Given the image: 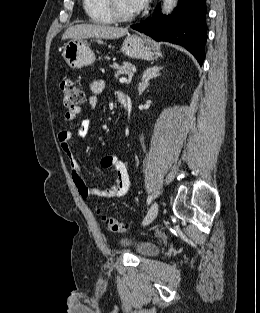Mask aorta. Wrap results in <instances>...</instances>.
I'll list each match as a JSON object with an SVG mask.
<instances>
[{
  "instance_id": "762f6f07",
  "label": "aorta",
  "mask_w": 260,
  "mask_h": 313,
  "mask_svg": "<svg viewBox=\"0 0 260 313\" xmlns=\"http://www.w3.org/2000/svg\"><path fill=\"white\" fill-rule=\"evenodd\" d=\"M177 0H163V12L169 13L172 11Z\"/></svg>"
}]
</instances>
